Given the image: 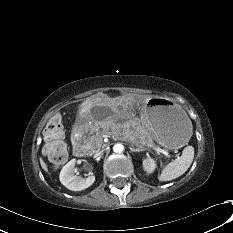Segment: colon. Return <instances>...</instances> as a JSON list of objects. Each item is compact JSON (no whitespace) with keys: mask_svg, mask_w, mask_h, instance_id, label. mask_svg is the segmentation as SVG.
<instances>
[{"mask_svg":"<svg viewBox=\"0 0 233 233\" xmlns=\"http://www.w3.org/2000/svg\"><path fill=\"white\" fill-rule=\"evenodd\" d=\"M44 153L55 166L62 165L67 159V146L63 139V128L59 114L54 115L45 128Z\"/></svg>","mask_w":233,"mask_h":233,"instance_id":"1","label":"colon"}]
</instances>
